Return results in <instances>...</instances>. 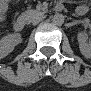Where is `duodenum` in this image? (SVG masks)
<instances>
[{
  "instance_id": "410a0bca",
  "label": "duodenum",
  "mask_w": 91,
  "mask_h": 91,
  "mask_svg": "<svg viewBox=\"0 0 91 91\" xmlns=\"http://www.w3.org/2000/svg\"><path fill=\"white\" fill-rule=\"evenodd\" d=\"M63 9V5L61 3H57L54 7L55 11H60ZM26 22L24 19H17L13 22V29L17 32L23 31L25 28Z\"/></svg>"
}]
</instances>
